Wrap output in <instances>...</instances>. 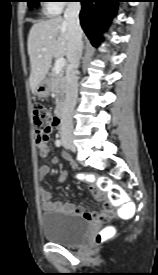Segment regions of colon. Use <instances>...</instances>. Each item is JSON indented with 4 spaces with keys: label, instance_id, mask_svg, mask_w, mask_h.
Segmentation results:
<instances>
[{
    "label": "colon",
    "instance_id": "obj_1",
    "mask_svg": "<svg viewBox=\"0 0 158 275\" xmlns=\"http://www.w3.org/2000/svg\"><path fill=\"white\" fill-rule=\"evenodd\" d=\"M33 119L36 130V136L40 140H47L50 133L57 127L58 120L54 117L49 110L42 104H35L33 106ZM99 189L106 192L110 200L120 201L125 196L124 191L115 185L108 178H100L97 180ZM112 217V210L109 205H106L105 209L99 213L100 219H110ZM113 234L111 227H105L95 237L97 244L107 240Z\"/></svg>",
    "mask_w": 158,
    "mask_h": 275
}]
</instances>
